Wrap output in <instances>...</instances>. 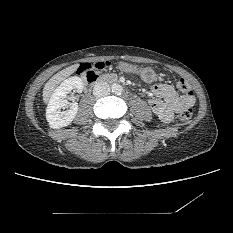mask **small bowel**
<instances>
[{
  "label": "small bowel",
  "instance_id": "1",
  "mask_svg": "<svg viewBox=\"0 0 233 233\" xmlns=\"http://www.w3.org/2000/svg\"><path fill=\"white\" fill-rule=\"evenodd\" d=\"M148 97L152 111L166 123L173 119L175 112L188 110L192 105V102L179 96L174 87L169 84L154 85L149 91Z\"/></svg>",
  "mask_w": 233,
  "mask_h": 233
}]
</instances>
